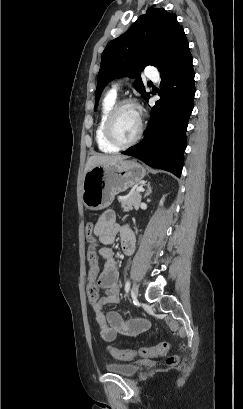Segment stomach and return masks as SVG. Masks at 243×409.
Listing matches in <instances>:
<instances>
[{
	"instance_id": "stomach-1",
	"label": "stomach",
	"mask_w": 243,
	"mask_h": 409,
	"mask_svg": "<svg viewBox=\"0 0 243 409\" xmlns=\"http://www.w3.org/2000/svg\"><path fill=\"white\" fill-rule=\"evenodd\" d=\"M145 175L146 169L131 160H122L108 166H94L83 178V204L90 210L104 209L112 204L116 194L133 187Z\"/></svg>"
}]
</instances>
